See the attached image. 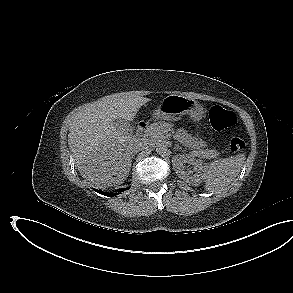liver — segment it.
I'll use <instances>...</instances> for the list:
<instances>
[{
  "label": "liver",
  "instance_id": "obj_1",
  "mask_svg": "<svg viewBox=\"0 0 293 293\" xmlns=\"http://www.w3.org/2000/svg\"><path fill=\"white\" fill-rule=\"evenodd\" d=\"M150 99L130 92L108 95L78 109L69 123L68 145L80 174L99 187L127 178L134 139L113 126L117 118L133 121Z\"/></svg>",
  "mask_w": 293,
  "mask_h": 293
}]
</instances>
